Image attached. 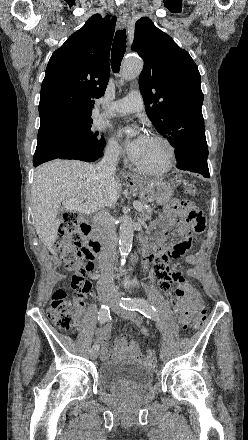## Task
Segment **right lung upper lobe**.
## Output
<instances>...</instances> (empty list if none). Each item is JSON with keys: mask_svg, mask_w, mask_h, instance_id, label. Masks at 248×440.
I'll return each mask as SVG.
<instances>
[{"mask_svg": "<svg viewBox=\"0 0 248 440\" xmlns=\"http://www.w3.org/2000/svg\"><path fill=\"white\" fill-rule=\"evenodd\" d=\"M95 14L51 56L42 82L40 128L53 131L92 120L94 98L106 90L116 18Z\"/></svg>", "mask_w": 248, "mask_h": 440, "instance_id": "1", "label": "right lung upper lobe"}]
</instances>
